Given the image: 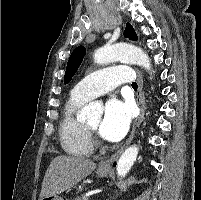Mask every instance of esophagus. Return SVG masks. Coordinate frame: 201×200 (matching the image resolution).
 <instances>
[{
  "instance_id": "obj_1",
  "label": "esophagus",
  "mask_w": 201,
  "mask_h": 200,
  "mask_svg": "<svg viewBox=\"0 0 201 200\" xmlns=\"http://www.w3.org/2000/svg\"><path fill=\"white\" fill-rule=\"evenodd\" d=\"M137 82H138V91H137L136 101L140 108L139 116L135 119L133 126H132V130H131L130 135H129L128 139L126 140V142L123 144V146L119 150H117L115 152V154H113L110 158L105 159L104 161H102L99 164L100 169H110L111 168L112 163L115 162L119 158V156L126 149V147L132 142L133 137L135 135L137 123L144 115V106H143V101H142V99H143V77H142L141 72H139L138 70H137Z\"/></svg>"
}]
</instances>
